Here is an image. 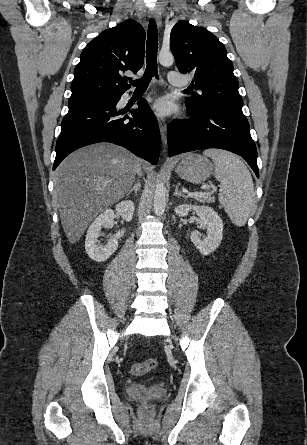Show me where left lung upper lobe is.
<instances>
[{"label": "left lung upper lobe", "instance_id": "5c2ea615", "mask_svg": "<svg viewBox=\"0 0 307 445\" xmlns=\"http://www.w3.org/2000/svg\"><path fill=\"white\" fill-rule=\"evenodd\" d=\"M170 47L179 71L195 73L191 85L199 93L193 92L186 99L188 112L197 115L209 110H227L243 114L232 62L215 35L203 27L179 21L172 28Z\"/></svg>", "mask_w": 307, "mask_h": 445}]
</instances>
